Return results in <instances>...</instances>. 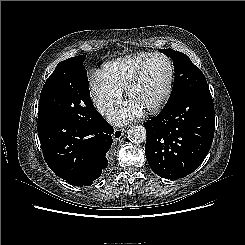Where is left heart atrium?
<instances>
[{"instance_id":"left-heart-atrium-1","label":"left heart atrium","mask_w":245,"mask_h":245,"mask_svg":"<svg viewBox=\"0 0 245 245\" xmlns=\"http://www.w3.org/2000/svg\"><path fill=\"white\" fill-rule=\"evenodd\" d=\"M142 108L131 100H127L113 109L109 117L116 124H124L138 117L142 113Z\"/></svg>"}]
</instances>
